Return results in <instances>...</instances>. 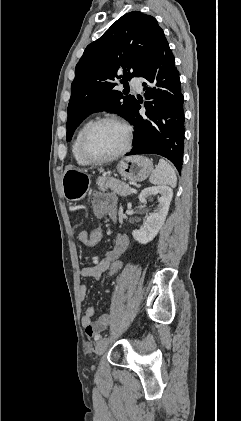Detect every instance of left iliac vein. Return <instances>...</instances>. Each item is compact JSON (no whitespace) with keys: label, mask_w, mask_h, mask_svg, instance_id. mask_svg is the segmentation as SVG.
<instances>
[{"label":"left iliac vein","mask_w":241,"mask_h":421,"mask_svg":"<svg viewBox=\"0 0 241 421\" xmlns=\"http://www.w3.org/2000/svg\"><path fill=\"white\" fill-rule=\"evenodd\" d=\"M108 344H109V340L107 338L100 339L96 344L95 354L97 356H101L105 352Z\"/></svg>","instance_id":"1"}]
</instances>
